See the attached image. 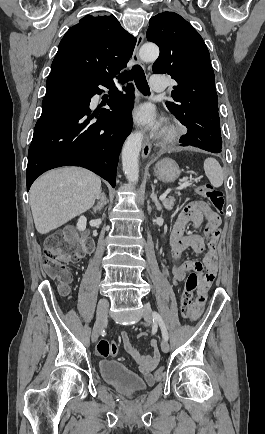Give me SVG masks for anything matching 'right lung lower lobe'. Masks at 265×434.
Segmentation results:
<instances>
[{
    "label": "right lung lower lobe",
    "mask_w": 265,
    "mask_h": 434,
    "mask_svg": "<svg viewBox=\"0 0 265 434\" xmlns=\"http://www.w3.org/2000/svg\"><path fill=\"white\" fill-rule=\"evenodd\" d=\"M116 74H49L28 152L27 191L39 175L65 165L87 168L115 186L120 149L132 129L134 87L124 88L125 95H111L107 105L112 111L98 107L92 113L90 102L102 93L99 85L113 89Z\"/></svg>",
    "instance_id": "obj_1"
}]
</instances>
